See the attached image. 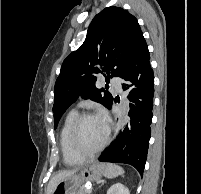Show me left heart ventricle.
Returning a JSON list of instances; mask_svg holds the SVG:
<instances>
[{
  "label": "left heart ventricle",
  "mask_w": 201,
  "mask_h": 194,
  "mask_svg": "<svg viewBox=\"0 0 201 194\" xmlns=\"http://www.w3.org/2000/svg\"><path fill=\"white\" fill-rule=\"evenodd\" d=\"M107 133L97 117L86 119L81 126L80 140L86 150L97 148L105 139Z\"/></svg>",
  "instance_id": "obj_1"
}]
</instances>
